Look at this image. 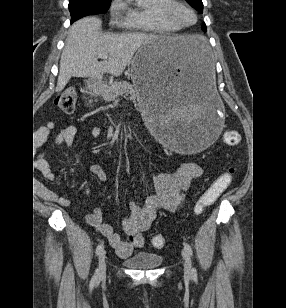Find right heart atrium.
Wrapping results in <instances>:
<instances>
[{
	"label": "right heart atrium",
	"mask_w": 286,
	"mask_h": 308,
	"mask_svg": "<svg viewBox=\"0 0 286 308\" xmlns=\"http://www.w3.org/2000/svg\"><path fill=\"white\" fill-rule=\"evenodd\" d=\"M111 20L117 23H126L128 17V3L125 0H111L109 4Z\"/></svg>",
	"instance_id": "right-heart-atrium-1"
}]
</instances>
